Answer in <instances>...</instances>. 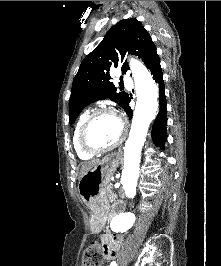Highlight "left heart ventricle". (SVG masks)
<instances>
[{
	"label": "left heart ventricle",
	"mask_w": 221,
	"mask_h": 266,
	"mask_svg": "<svg viewBox=\"0 0 221 266\" xmlns=\"http://www.w3.org/2000/svg\"><path fill=\"white\" fill-rule=\"evenodd\" d=\"M121 134V123L113 114H101L92 123L88 139L95 146H107Z\"/></svg>",
	"instance_id": "1"
}]
</instances>
